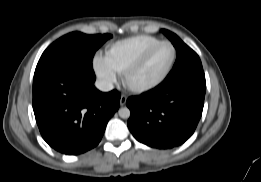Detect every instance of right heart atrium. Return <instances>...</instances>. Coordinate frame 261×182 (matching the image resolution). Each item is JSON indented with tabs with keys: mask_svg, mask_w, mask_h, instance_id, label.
Segmentation results:
<instances>
[{
	"mask_svg": "<svg viewBox=\"0 0 261 182\" xmlns=\"http://www.w3.org/2000/svg\"><path fill=\"white\" fill-rule=\"evenodd\" d=\"M93 67L104 86H111L117 81L118 74L111 66L106 56L96 54L93 59Z\"/></svg>",
	"mask_w": 261,
	"mask_h": 182,
	"instance_id": "obj_1",
	"label": "right heart atrium"
}]
</instances>
